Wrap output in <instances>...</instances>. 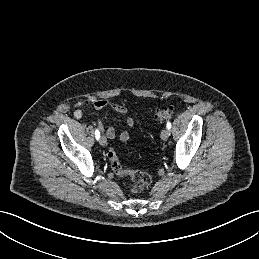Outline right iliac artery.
Listing matches in <instances>:
<instances>
[{"label": "right iliac artery", "mask_w": 259, "mask_h": 259, "mask_svg": "<svg viewBox=\"0 0 259 259\" xmlns=\"http://www.w3.org/2000/svg\"><path fill=\"white\" fill-rule=\"evenodd\" d=\"M95 137L97 140L100 138V132L98 129L95 130Z\"/></svg>", "instance_id": "1"}]
</instances>
